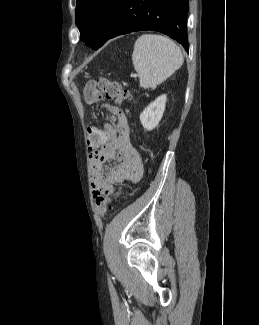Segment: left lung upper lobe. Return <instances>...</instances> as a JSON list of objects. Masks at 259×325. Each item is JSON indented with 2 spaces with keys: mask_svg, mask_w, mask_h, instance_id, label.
Returning a JSON list of instances; mask_svg holds the SVG:
<instances>
[{
  "mask_svg": "<svg viewBox=\"0 0 259 325\" xmlns=\"http://www.w3.org/2000/svg\"><path fill=\"white\" fill-rule=\"evenodd\" d=\"M122 0H77L76 25L80 39L97 50L105 41Z\"/></svg>",
  "mask_w": 259,
  "mask_h": 325,
  "instance_id": "left-lung-upper-lobe-1",
  "label": "left lung upper lobe"
}]
</instances>
